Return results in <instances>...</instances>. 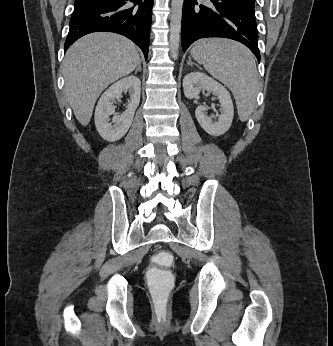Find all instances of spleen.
Returning a JSON list of instances; mask_svg holds the SVG:
<instances>
[{"label":"spleen","instance_id":"spleen-1","mask_svg":"<svg viewBox=\"0 0 333 346\" xmlns=\"http://www.w3.org/2000/svg\"><path fill=\"white\" fill-rule=\"evenodd\" d=\"M191 55L231 90L240 120H248L256 103L259 86L257 67L250 50L236 41L208 38L197 41Z\"/></svg>","mask_w":333,"mask_h":346}]
</instances>
